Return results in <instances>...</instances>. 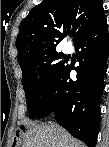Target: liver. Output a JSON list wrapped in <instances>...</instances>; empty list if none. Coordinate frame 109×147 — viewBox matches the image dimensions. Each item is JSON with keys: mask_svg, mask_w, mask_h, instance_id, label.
Segmentation results:
<instances>
[{"mask_svg": "<svg viewBox=\"0 0 109 147\" xmlns=\"http://www.w3.org/2000/svg\"><path fill=\"white\" fill-rule=\"evenodd\" d=\"M22 147H82V143L58 124L32 123L23 136Z\"/></svg>", "mask_w": 109, "mask_h": 147, "instance_id": "1", "label": "liver"}]
</instances>
